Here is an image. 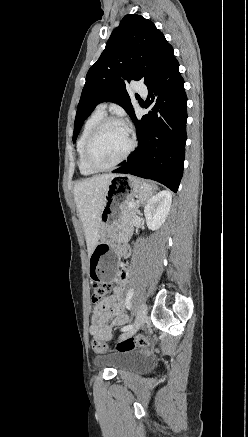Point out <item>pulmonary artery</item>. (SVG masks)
<instances>
[{
    "mask_svg": "<svg viewBox=\"0 0 248 437\" xmlns=\"http://www.w3.org/2000/svg\"><path fill=\"white\" fill-rule=\"evenodd\" d=\"M134 90L141 95H146V93H147L146 87L138 82L135 83ZM105 109H106V103H100L97 106V110H99V111L105 112Z\"/></svg>",
    "mask_w": 248,
    "mask_h": 437,
    "instance_id": "e3ab8cb5",
    "label": "pulmonary artery"
}]
</instances>
